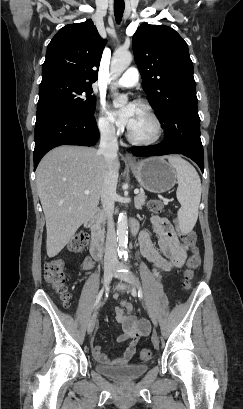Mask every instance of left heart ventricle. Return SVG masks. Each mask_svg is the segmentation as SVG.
I'll return each instance as SVG.
<instances>
[{
  "mask_svg": "<svg viewBox=\"0 0 243 409\" xmlns=\"http://www.w3.org/2000/svg\"><path fill=\"white\" fill-rule=\"evenodd\" d=\"M129 130L139 138H150L154 135L153 122L143 107L135 105V112Z\"/></svg>",
  "mask_w": 243,
  "mask_h": 409,
  "instance_id": "1",
  "label": "left heart ventricle"
}]
</instances>
